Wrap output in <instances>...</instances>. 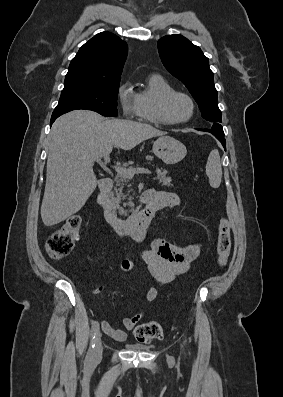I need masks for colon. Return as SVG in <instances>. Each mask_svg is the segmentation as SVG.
Instances as JSON below:
<instances>
[{"label":"colon","mask_w":283,"mask_h":397,"mask_svg":"<svg viewBox=\"0 0 283 397\" xmlns=\"http://www.w3.org/2000/svg\"><path fill=\"white\" fill-rule=\"evenodd\" d=\"M81 228V216L78 214L69 216L64 224L48 238L46 242L48 255L52 259L59 260L70 254L79 238ZM230 251L231 223L223 217L219 221L217 237V261L220 267L226 265ZM163 335V329L156 321L140 324L134 329L135 339L142 343L161 340Z\"/></svg>","instance_id":"colon-1"}]
</instances>
